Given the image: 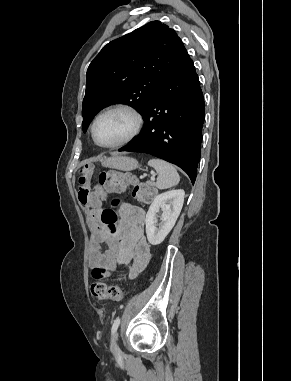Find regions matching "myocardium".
Segmentation results:
<instances>
[{
	"label": "myocardium",
	"mask_w": 291,
	"mask_h": 381,
	"mask_svg": "<svg viewBox=\"0 0 291 381\" xmlns=\"http://www.w3.org/2000/svg\"><path fill=\"white\" fill-rule=\"evenodd\" d=\"M114 111H125V112L129 113L130 115H132V117L134 118V121H135L134 128L131 131V133L127 137L122 139L121 141L113 143V144H102L101 142H99V140L97 139V136H96L97 122L104 115L111 113V112H114ZM143 123H144L143 117H142L141 113L135 107H133L129 104H118V105H114V106L104 110L94 119V121L92 123V127H91V133H92L93 140L95 141V143L98 146L103 147V148H116V147L123 146V145L131 142L132 140H134L140 134L142 127H143Z\"/></svg>",
	"instance_id": "1"
}]
</instances>
